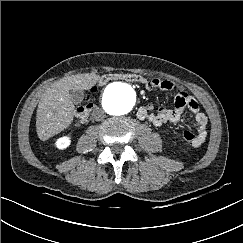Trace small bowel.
<instances>
[{"label": "small bowel", "mask_w": 243, "mask_h": 243, "mask_svg": "<svg viewBox=\"0 0 243 243\" xmlns=\"http://www.w3.org/2000/svg\"><path fill=\"white\" fill-rule=\"evenodd\" d=\"M145 86L147 90L174 91L176 93L174 109L155 108L149 104L138 110V117L150 121L155 126H161L168 122H180L183 111L189 109L194 114V121L190 123V126L196 131V140L191 144L194 147H200L206 140L207 117L200 111L196 100L180 85L169 80L153 79L146 81Z\"/></svg>", "instance_id": "small-bowel-1"}]
</instances>
